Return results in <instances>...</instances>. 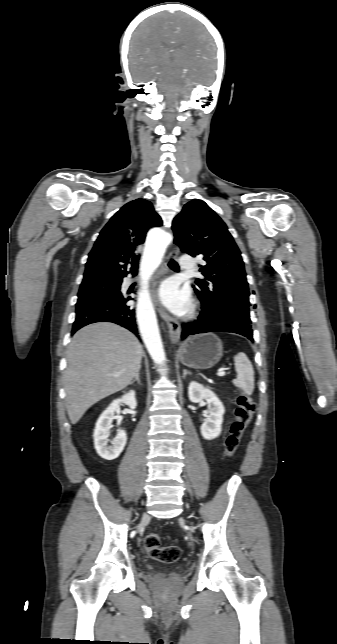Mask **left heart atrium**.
<instances>
[{
    "mask_svg": "<svg viewBox=\"0 0 337 644\" xmlns=\"http://www.w3.org/2000/svg\"><path fill=\"white\" fill-rule=\"evenodd\" d=\"M163 304L175 313L186 312L191 304L190 294L186 288H180L173 279L166 280L159 289Z\"/></svg>",
    "mask_w": 337,
    "mask_h": 644,
    "instance_id": "39dd6f15",
    "label": "left heart atrium"
}]
</instances>
